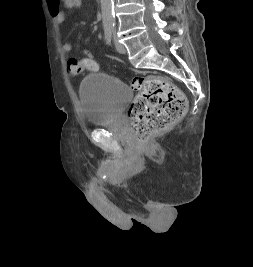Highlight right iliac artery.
I'll return each mask as SVG.
<instances>
[{"label":"right iliac artery","instance_id":"right-iliac-artery-1","mask_svg":"<svg viewBox=\"0 0 253 267\" xmlns=\"http://www.w3.org/2000/svg\"><path fill=\"white\" fill-rule=\"evenodd\" d=\"M112 34H113V31L111 29L105 28V39L108 45H111Z\"/></svg>","mask_w":253,"mask_h":267}]
</instances>
